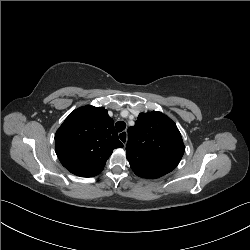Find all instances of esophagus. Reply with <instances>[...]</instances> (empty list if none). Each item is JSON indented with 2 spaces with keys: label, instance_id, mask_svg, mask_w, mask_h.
Returning a JSON list of instances; mask_svg holds the SVG:
<instances>
[{
  "label": "esophagus",
  "instance_id": "1",
  "mask_svg": "<svg viewBox=\"0 0 250 250\" xmlns=\"http://www.w3.org/2000/svg\"><path fill=\"white\" fill-rule=\"evenodd\" d=\"M118 137H119V140H120L124 145H126V143H127V132H126V131L120 132L119 135H118Z\"/></svg>",
  "mask_w": 250,
  "mask_h": 250
}]
</instances>
